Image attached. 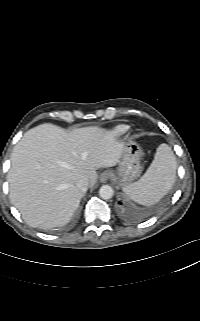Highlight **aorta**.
Masks as SVG:
<instances>
[{
  "label": "aorta",
  "mask_w": 200,
  "mask_h": 321,
  "mask_svg": "<svg viewBox=\"0 0 200 321\" xmlns=\"http://www.w3.org/2000/svg\"><path fill=\"white\" fill-rule=\"evenodd\" d=\"M99 195L102 199L108 200L113 197L114 195V190L111 186L109 185H103L100 187L99 190Z\"/></svg>",
  "instance_id": "aorta-1"
}]
</instances>
